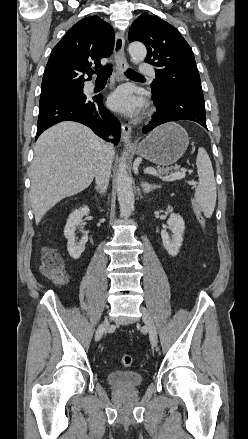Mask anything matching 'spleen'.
<instances>
[{"label": "spleen", "mask_w": 248, "mask_h": 439, "mask_svg": "<svg viewBox=\"0 0 248 439\" xmlns=\"http://www.w3.org/2000/svg\"><path fill=\"white\" fill-rule=\"evenodd\" d=\"M196 165L199 184L195 189L194 196L204 215L209 218L216 205L217 192L212 163L206 150L202 147L198 148Z\"/></svg>", "instance_id": "spleen-1"}]
</instances>
